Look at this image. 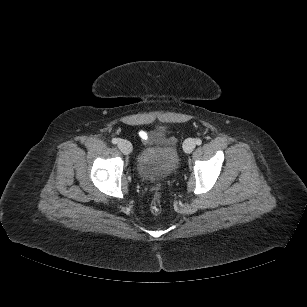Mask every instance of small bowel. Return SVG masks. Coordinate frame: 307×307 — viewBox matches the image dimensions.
<instances>
[{
    "instance_id": "1",
    "label": "small bowel",
    "mask_w": 307,
    "mask_h": 307,
    "mask_svg": "<svg viewBox=\"0 0 307 307\" xmlns=\"http://www.w3.org/2000/svg\"><path fill=\"white\" fill-rule=\"evenodd\" d=\"M139 136L141 137V139L143 141H148L149 140V135L147 132L145 131H140Z\"/></svg>"
}]
</instances>
